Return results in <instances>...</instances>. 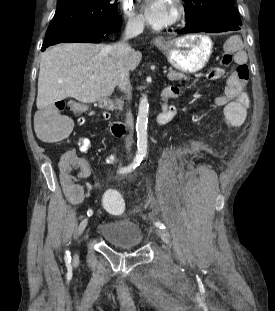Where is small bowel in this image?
I'll return each instance as SVG.
<instances>
[{"label": "small bowel", "instance_id": "c3829d8e", "mask_svg": "<svg viewBox=\"0 0 275 311\" xmlns=\"http://www.w3.org/2000/svg\"><path fill=\"white\" fill-rule=\"evenodd\" d=\"M243 43L237 36L229 38L224 42V57L223 60L217 61L218 67H227L228 62L233 59L236 65L246 64L247 57L245 52L241 49ZM214 75L210 74L209 78ZM180 89L178 87H168L163 91L162 96L165 98L162 104V112L158 116V123L160 125L170 122L177 114L175 106L167 103L168 99L179 97ZM217 106L224 108V120L227 125L228 119H232L231 124L234 128L240 127L246 118L247 109L249 106V98L246 92V80L239 78L236 70L230 75L225 87L224 94L215 99ZM84 110V107L78 105L74 111ZM90 116H98L103 119H108L109 114L107 112H94L89 113ZM86 123L85 117H79L77 124L83 126ZM79 149L82 152H86L90 146L91 141L87 137H80L78 139ZM59 168L57 169V176H60L63 188L67 196L74 203H80L84 199V188L81 184L72 180H84L90 175V168L87 164V160H84L83 155H79L78 150H61L58 156ZM117 161V157L112 155L106 159L107 164H113Z\"/></svg>", "mask_w": 275, "mask_h": 311}]
</instances>
